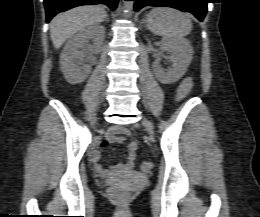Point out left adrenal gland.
<instances>
[{
  "label": "left adrenal gland",
  "instance_id": "1",
  "mask_svg": "<svg viewBox=\"0 0 260 217\" xmlns=\"http://www.w3.org/2000/svg\"><path fill=\"white\" fill-rule=\"evenodd\" d=\"M142 23H146V19L145 18L142 20Z\"/></svg>",
  "mask_w": 260,
  "mask_h": 217
}]
</instances>
